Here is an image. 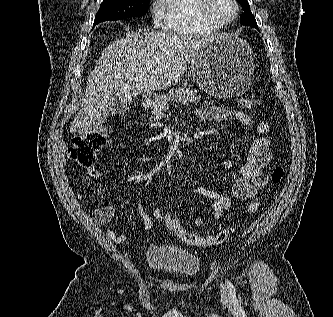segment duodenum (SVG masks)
<instances>
[{"label": "duodenum", "instance_id": "obj_1", "mask_svg": "<svg viewBox=\"0 0 333 317\" xmlns=\"http://www.w3.org/2000/svg\"><path fill=\"white\" fill-rule=\"evenodd\" d=\"M155 102V97L154 96H146L144 99V104L145 106H152Z\"/></svg>", "mask_w": 333, "mask_h": 317}]
</instances>
